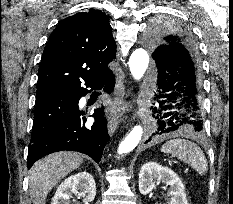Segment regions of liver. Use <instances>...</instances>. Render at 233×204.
<instances>
[{"instance_id":"6515ba94","label":"liver","mask_w":233,"mask_h":204,"mask_svg":"<svg viewBox=\"0 0 233 204\" xmlns=\"http://www.w3.org/2000/svg\"><path fill=\"white\" fill-rule=\"evenodd\" d=\"M83 162L75 152H57L37 161L29 171V191L33 204H46L51 189Z\"/></svg>"}]
</instances>
